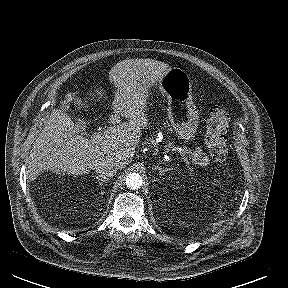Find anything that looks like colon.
<instances>
[{
    "label": "colon",
    "instance_id": "colon-1",
    "mask_svg": "<svg viewBox=\"0 0 288 288\" xmlns=\"http://www.w3.org/2000/svg\"><path fill=\"white\" fill-rule=\"evenodd\" d=\"M229 125V113L223 106H214L209 111L206 120L205 143L215 162L222 163L226 160L228 147L226 133Z\"/></svg>",
    "mask_w": 288,
    "mask_h": 288
}]
</instances>
